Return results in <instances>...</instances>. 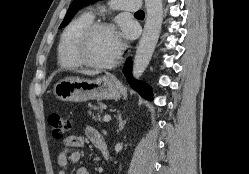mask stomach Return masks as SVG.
Returning <instances> with one entry per match:
<instances>
[{
	"mask_svg": "<svg viewBox=\"0 0 249 174\" xmlns=\"http://www.w3.org/2000/svg\"><path fill=\"white\" fill-rule=\"evenodd\" d=\"M122 91L123 85L112 75L94 80L67 77L58 81L53 87V93L58 99L70 102L119 99Z\"/></svg>",
	"mask_w": 249,
	"mask_h": 174,
	"instance_id": "1",
	"label": "stomach"
}]
</instances>
